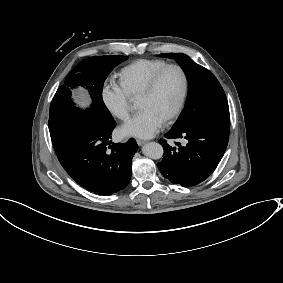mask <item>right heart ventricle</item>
Instances as JSON below:
<instances>
[{"mask_svg": "<svg viewBox=\"0 0 283 283\" xmlns=\"http://www.w3.org/2000/svg\"><path fill=\"white\" fill-rule=\"evenodd\" d=\"M167 64H169L167 60L160 58L135 60L120 69L118 73L120 83L129 96L135 98L139 96L148 79Z\"/></svg>", "mask_w": 283, "mask_h": 283, "instance_id": "right-heart-ventricle-1", "label": "right heart ventricle"}]
</instances>
